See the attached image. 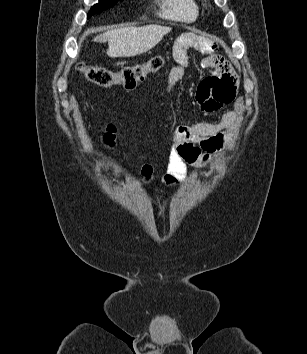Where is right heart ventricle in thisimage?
<instances>
[{
  "label": "right heart ventricle",
  "mask_w": 307,
  "mask_h": 354,
  "mask_svg": "<svg viewBox=\"0 0 307 354\" xmlns=\"http://www.w3.org/2000/svg\"><path fill=\"white\" fill-rule=\"evenodd\" d=\"M160 16L176 22H193L198 16L196 0H159Z\"/></svg>",
  "instance_id": "right-heart-ventricle-1"
}]
</instances>
